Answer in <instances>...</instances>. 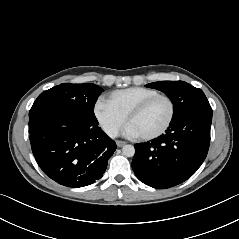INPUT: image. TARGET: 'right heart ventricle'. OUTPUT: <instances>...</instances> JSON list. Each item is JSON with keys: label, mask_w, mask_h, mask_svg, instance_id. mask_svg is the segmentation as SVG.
<instances>
[{"label": "right heart ventricle", "mask_w": 239, "mask_h": 239, "mask_svg": "<svg viewBox=\"0 0 239 239\" xmlns=\"http://www.w3.org/2000/svg\"><path fill=\"white\" fill-rule=\"evenodd\" d=\"M159 93L155 89L135 86L110 92L105 101L127 117L128 113L144 99Z\"/></svg>", "instance_id": "right-heart-ventricle-1"}]
</instances>
